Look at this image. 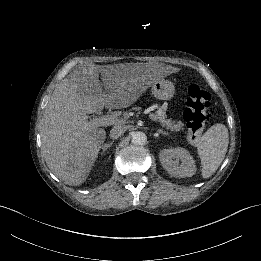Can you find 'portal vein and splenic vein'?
<instances>
[{"label": "portal vein and splenic vein", "instance_id": "portal-vein-and-splenic-vein-1", "mask_svg": "<svg viewBox=\"0 0 261 261\" xmlns=\"http://www.w3.org/2000/svg\"><path fill=\"white\" fill-rule=\"evenodd\" d=\"M148 116L151 118V120L154 123H157V119L155 118V115L152 112L148 113ZM96 122L100 124L101 126H109L112 123H115V118L113 116H103L97 118Z\"/></svg>", "mask_w": 261, "mask_h": 261}]
</instances>
